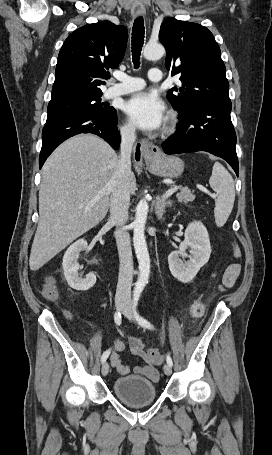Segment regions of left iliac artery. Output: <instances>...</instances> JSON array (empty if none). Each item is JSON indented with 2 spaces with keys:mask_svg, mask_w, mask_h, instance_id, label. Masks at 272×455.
I'll list each match as a JSON object with an SVG mask.
<instances>
[{
  "mask_svg": "<svg viewBox=\"0 0 272 455\" xmlns=\"http://www.w3.org/2000/svg\"><path fill=\"white\" fill-rule=\"evenodd\" d=\"M138 300H139V294H135L134 299H133V307H134V309L137 306ZM135 318H136V320L138 321V323L142 327H145V328H148V329H153L152 324L149 321H147L145 318H143L142 316L137 314L136 311H135ZM166 360H167V364L168 365H170V366L173 365V362H172V359H171L170 355H167V359Z\"/></svg>",
  "mask_w": 272,
  "mask_h": 455,
  "instance_id": "obj_1",
  "label": "left iliac artery"
}]
</instances>
